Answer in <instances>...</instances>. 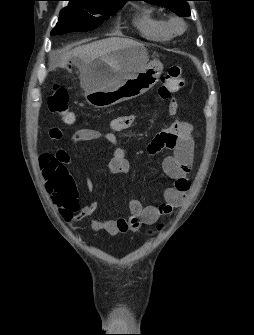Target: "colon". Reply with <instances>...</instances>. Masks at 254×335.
Here are the masks:
<instances>
[{
	"mask_svg": "<svg viewBox=\"0 0 254 335\" xmlns=\"http://www.w3.org/2000/svg\"><path fill=\"white\" fill-rule=\"evenodd\" d=\"M184 86L183 70L180 66L171 67L163 76V85L157 92V100H168L172 93ZM170 104V103H169ZM48 107L51 113L60 116L66 123L74 122V113L69 107V94L63 87H54L48 97ZM43 175L46 178L47 190L55 192V200L64 203L73 194L72 183L66 170L58 160V152L45 154L41 157ZM75 204L77 205L76 201Z\"/></svg>",
	"mask_w": 254,
	"mask_h": 335,
	"instance_id": "obj_1",
	"label": "colon"
}]
</instances>
